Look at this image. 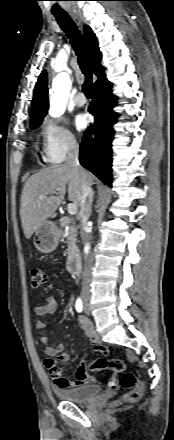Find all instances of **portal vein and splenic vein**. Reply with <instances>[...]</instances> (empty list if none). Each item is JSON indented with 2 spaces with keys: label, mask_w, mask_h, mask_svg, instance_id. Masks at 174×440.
<instances>
[{
  "label": "portal vein and splenic vein",
  "mask_w": 174,
  "mask_h": 440,
  "mask_svg": "<svg viewBox=\"0 0 174 440\" xmlns=\"http://www.w3.org/2000/svg\"><path fill=\"white\" fill-rule=\"evenodd\" d=\"M45 196H39V199H43ZM68 213L70 215H76L77 213V205L75 203H69L67 206Z\"/></svg>",
  "instance_id": "obj_1"
}]
</instances>
